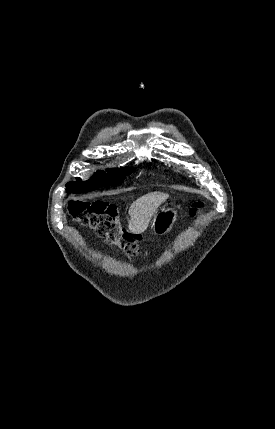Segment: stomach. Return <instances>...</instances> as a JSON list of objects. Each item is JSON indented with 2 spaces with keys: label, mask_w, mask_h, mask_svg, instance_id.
<instances>
[{
  "label": "stomach",
  "mask_w": 275,
  "mask_h": 429,
  "mask_svg": "<svg viewBox=\"0 0 275 429\" xmlns=\"http://www.w3.org/2000/svg\"><path fill=\"white\" fill-rule=\"evenodd\" d=\"M177 219V210L175 208L163 209L154 215L152 229L154 234L163 235L168 233Z\"/></svg>",
  "instance_id": "stomach-1"
}]
</instances>
